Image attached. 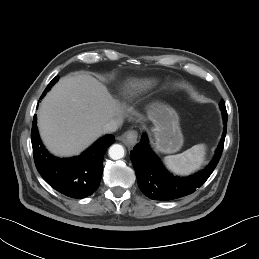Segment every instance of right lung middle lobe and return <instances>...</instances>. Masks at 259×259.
I'll return each mask as SVG.
<instances>
[{"label": "right lung middle lobe", "mask_w": 259, "mask_h": 259, "mask_svg": "<svg viewBox=\"0 0 259 259\" xmlns=\"http://www.w3.org/2000/svg\"><path fill=\"white\" fill-rule=\"evenodd\" d=\"M58 80H59V77H58V76H56L54 79H52L51 82H50V84H49V85L47 86V88L44 90V92H43V94H42L41 97H43V95H45L46 92L51 89L52 85H54Z\"/></svg>", "instance_id": "dd1d6c3e"}]
</instances>
